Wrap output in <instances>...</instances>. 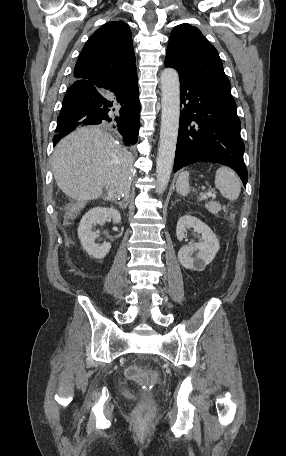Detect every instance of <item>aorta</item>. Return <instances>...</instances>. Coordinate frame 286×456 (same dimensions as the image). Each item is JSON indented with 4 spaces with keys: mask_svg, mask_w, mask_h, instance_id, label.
Returning a JSON list of instances; mask_svg holds the SVG:
<instances>
[{
    "mask_svg": "<svg viewBox=\"0 0 286 456\" xmlns=\"http://www.w3.org/2000/svg\"><path fill=\"white\" fill-rule=\"evenodd\" d=\"M162 114L158 156L156 161L157 192L163 193L170 180L180 118V82L177 71L165 68L160 76Z\"/></svg>",
    "mask_w": 286,
    "mask_h": 456,
    "instance_id": "aorta-1",
    "label": "aorta"
}]
</instances>
